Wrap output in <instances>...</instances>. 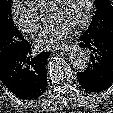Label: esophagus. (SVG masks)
Instances as JSON below:
<instances>
[{"instance_id":"1","label":"esophagus","mask_w":113,"mask_h":113,"mask_svg":"<svg viewBox=\"0 0 113 113\" xmlns=\"http://www.w3.org/2000/svg\"><path fill=\"white\" fill-rule=\"evenodd\" d=\"M75 45H72V44H67L65 46H62L61 48H59L61 51H64V52H68L70 51Z\"/></svg>"}]
</instances>
